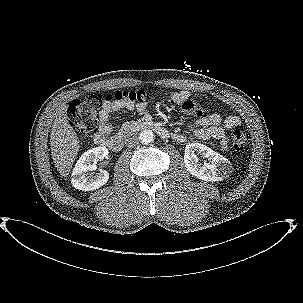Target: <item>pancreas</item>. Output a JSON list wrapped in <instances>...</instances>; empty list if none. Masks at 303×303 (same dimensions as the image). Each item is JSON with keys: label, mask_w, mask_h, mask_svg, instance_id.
<instances>
[{"label": "pancreas", "mask_w": 303, "mask_h": 303, "mask_svg": "<svg viewBox=\"0 0 303 303\" xmlns=\"http://www.w3.org/2000/svg\"><path fill=\"white\" fill-rule=\"evenodd\" d=\"M128 126H129V123L127 122V123L124 124L123 128L125 129V128H127Z\"/></svg>", "instance_id": "obj_1"}]
</instances>
